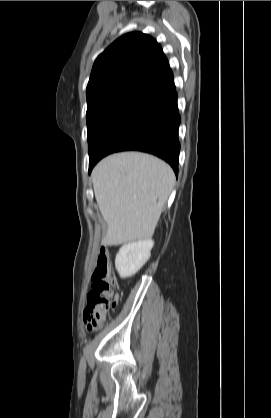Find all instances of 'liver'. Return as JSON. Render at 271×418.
<instances>
[{
    "label": "liver",
    "mask_w": 271,
    "mask_h": 418,
    "mask_svg": "<svg viewBox=\"0 0 271 418\" xmlns=\"http://www.w3.org/2000/svg\"><path fill=\"white\" fill-rule=\"evenodd\" d=\"M92 180L107 223L102 244L107 247L151 239L174 187L172 168L152 155L123 152L101 160Z\"/></svg>",
    "instance_id": "liver-1"
}]
</instances>
